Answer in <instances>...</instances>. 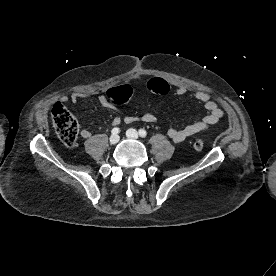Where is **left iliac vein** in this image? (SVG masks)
I'll list each match as a JSON object with an SVG mask.
<instances>
[{"mask_svg":"<svg viewBox=\"0 0 276 276\" xmlns=\"http://www.w3.org/2000/svg\"><path fill=\"white\" fill-rule=\"evenodd\" d=\"M126 136L129 139H134V140H136V139L139 138L138 132L135 129H133V128L127 130Z\"/></svg>","mask_w":276,"mask_h":276,"instance_id":"obj_1","label":"left iliac vein"}]
</instances>
